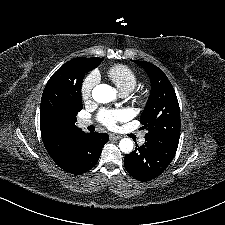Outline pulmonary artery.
Returning a JSON list of instances; mask_svg holds the SVG:
<instances>
[{"instance_id":"obj_1","label":"pulmonary artery","mask_w":225,"mask_h":225,"mask_svg":"<svg viewBox=\"0 0 225 225\" xmlns=\"http://www.w3.org/2000/svg\"><path fill=\"white\" fill-rule=\"evenodd\" d=\"M122 96H123V97H126L127 94H126V93H123ZM91 124H92V121H91L90 119H80V120L78 121V126H79L80 128H86V127H88V126L91 125ZM139 142H140V144H143V143L145 142V138H144V137H141V138L139 139Z\"/></svg>"}]
</instances>
